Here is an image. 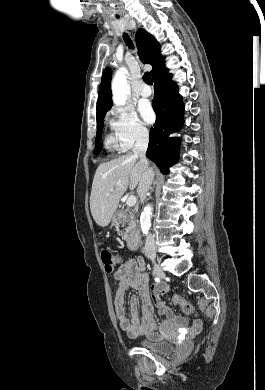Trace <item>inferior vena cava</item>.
Wrapping results in <instances>:
<instances>
[{
    "label": "inferior vena cava",
    "instance_id": "obj_1",
    "mask_svg": "<svg viewBox=\"0 0 265 390\" xmlns=\"http://www.w3.org/2000/svg\"><path fill=\"white\" fill-rule=\"evenodd\" d=\"M148 143H149L148 133L141 132L138 135L135 146L133 148L134 155L140 158V161L144 164L145 167L143 177L138 186V194L140 196L141 202H144L146 198V193L148 192L152 184V181L154 179V172L152 168L149 167V163L146 158V150L148 148ZM144 253L146 256L155 257L156 255L155 239L152 234H149L146 238Z\"/></svg>",
    "mask_w": 265,
    "mask_h": 390
}]
</instances>
